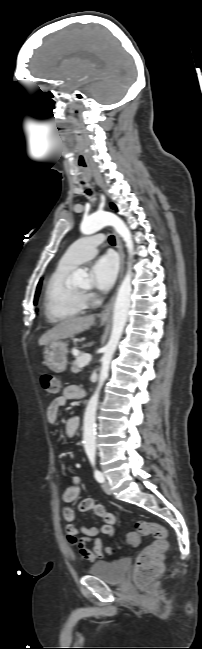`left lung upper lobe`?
I'll use <instances>...</instances> for the list:
<instances>
[{"label": "left lung upper lobe", "mask_w": 202, "mask_h": 649, "mask_svg": "<svg viewBox=\"0 0 202 649\" xmlns=\"http://www.w3.org/2000/svg\"><path fill=\"white\" fill-rule=\"evenodd\" d=\"M111 207H112L113 209H115V210L117 209L116 206H115L114 204H111Z\"/></svg>", "instance_id": "5c2ea615"}]
</instances>
